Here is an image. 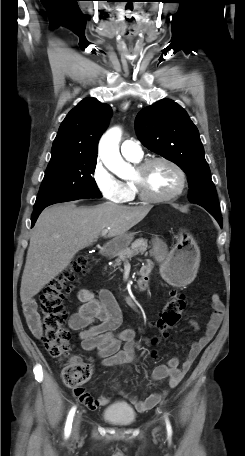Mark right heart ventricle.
I'll return each mask as SVG.
<instances>
[{
	"label": "right heart ventricle",
	"mask_w": 245,
	"mask_h": 456,
	"mask_svg": "<svg viewBox=\"0 0 245 456\" xmlns=\"http://www.w3.org/2000/svg\"><path fill=\"white\" fill-rule=\"evenodd\" d=\"M129 161L133 162V163H139L141 161V158L139 159H133V158H127ZM124 187H125V190H126V199H125V202H131L133 201L136 196H137V191H136V188L133 184L132 181H127L125 183H123Z\"/></svg>",
	"instance_id": "obj_1"
}]
</instances>
